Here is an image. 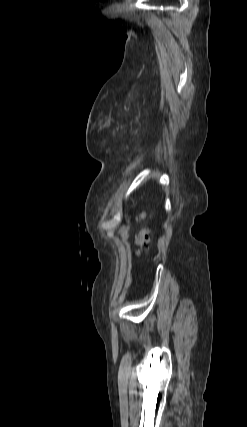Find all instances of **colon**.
I'll return each instance as SVG.
<instances>
[{
    "label": "colon",
    "instance_id": "obj_1",
    "mask_svg": "<svg viewBox=\"0 0 247 427\" xmlns=\"http://www.w3.org/2000/svg\"><path fill=\"white\" fill-rule=\"evenodd\" d=\"M144 218H145L144 213L139 214L138 220L140 222H142ZM148 242H149V231L146 227L142 226L136 237V243L138 246V251H137L138 255L141 256L143 254V250L147 246Z\"/></svg>",
    "mask_w": 247,
    "mask_h": 427
}]
</instances>
